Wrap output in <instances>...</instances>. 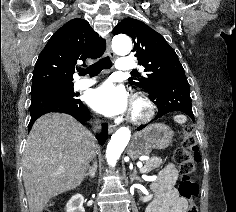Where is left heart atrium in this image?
Instances as JSON below:
<instances>
[{"mask_svg":"<svg viewBox=\"0 0 236 212\" xmlns=\"http://www.w3.org/2000/svg\"><path fill=\"white\" fill-rule=\"evenodd\" d=\"M88 103L98 113L114 117L127 111L129 98L123 87L117 86L112 82H105L97 89L91 91Z\"/></svg>","mask_w":236,"mask_h":212,"instance_id":"obj_1","label":"left heart atrium"}]
</instances>
